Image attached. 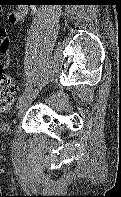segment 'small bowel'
<instances>
[{
  "label": "small bowel",
  "mask_w": 121,
  "mask_h": 197,
  "mask_svg": "<svg viewBox=\"0 0 121 197\" xmlns=\"http://www.w3.org/2000/svg\"><path fill=\"white\" fill-rule=\"evenodd\" d=\"M28 13V7L21 4L17 8V10L9 12L6 14V19L9 23H18L21 21ZM2 20V17L0 16V21ZM0 53L3 55H6L7 48H8V38L6 36V33L0 29Z\"/></svg>",
  "instance_id": "small-bowel-1"
}]
</instances>
